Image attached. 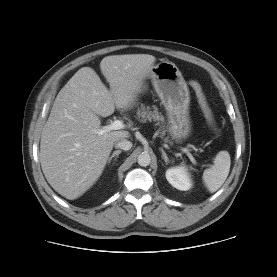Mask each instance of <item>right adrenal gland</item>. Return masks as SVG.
<instances>
[{"label":"right adrenal gland","mask_w":277,"mask_h":277,"mask_svg":"<svg viewBox=\"0 0 277 277\" xmlns=\"http://www.w3.org/2000/svg\"><path fill=\"white\" fill-rule=\"evenodd\" d=\"M121 150H116L112 153V155L108 159V164H110L111 160L115 157V160H117L119 154L121 153Z\"/></svg>","instance_id":"obj_1"}]
</instances>
